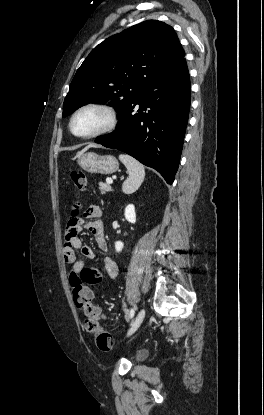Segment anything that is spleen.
<instances>
[{"label":"spleen","instance_id":"1","mask_svg":"<svg viewBox=\"0 0 264 415\" xmlns=\"http://www.w3.org/2000/svg\"><path fill=\"white\" fill-rule=\"evenodd\" d=\"M119 159L126 166L129 176L122 184V191L125 194L134 193L142 184L145 177L144 166L133 157L121 154Z\"/></svg>","mask_w":264,"mask_h":415}]
</instances>
